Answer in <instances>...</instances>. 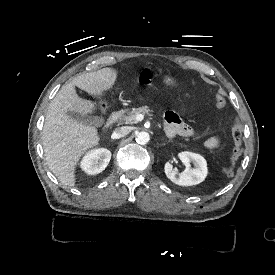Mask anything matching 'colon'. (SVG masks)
Returning a JSON list of instances; mask_svg holds the SVG:
<instances>
[{
    "label": "colon",
    "instance_id": "colon-1",
    "mask_svg": "<svg viewBox=\"0 0 275 275\" xmlns=\"http://www.w3.org/2000/svg\"><path fill=\"white\" fill-rule=\"evenodd\" d=\"M215 104L219 108H223L226 106V99L222 94H217L215 97ZM105 105L104 102H101V106ZM232 137L234 140V149L232 155L229 159L228 165L224 169V173L228 177H232L235 173V166L238 160L240 159L243 147H242V137H241V127L239 124L235 123L232 127Z\"/></svg>",
    "mask_w": 275,
    "mask_h": 275
}]
</instances>
